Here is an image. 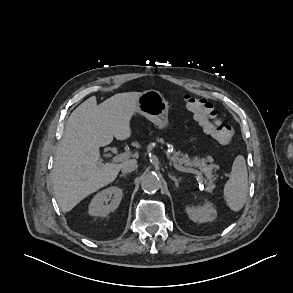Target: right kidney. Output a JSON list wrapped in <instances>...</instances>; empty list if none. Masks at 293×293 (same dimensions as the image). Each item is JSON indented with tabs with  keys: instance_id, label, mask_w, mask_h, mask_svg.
<instances>
[{
	"instance_id": "ca27d5eb",
	"label": "right kidney",
	"mask_w": 293,
	"mask_h": 293,
	"mask_svg": "<svg viewBox=\"0 0 293 293\" xmlns=\"http://www.w3.org/2000/svg\"><path fill=\"white\" fill-rule=\"evenodd\" d=\"M121 199L122 190L120 188L109 187L104 189L92 199L89 205V214L92 216H107L119 206Z\"/></svg>"
}]
</instances>
